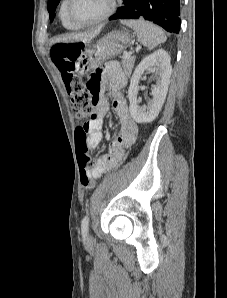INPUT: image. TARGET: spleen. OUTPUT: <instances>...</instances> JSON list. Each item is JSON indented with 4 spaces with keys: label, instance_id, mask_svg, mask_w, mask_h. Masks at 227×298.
Masks as SVG:
<instances>
[{
    "label": "spleen",
    "instance_id": "3e777b00",
    "mask_svg": "<svg viewBox=\"0 0 227 298\" xmlns=\"http://www.w3.org/2000/svg\"><path fill=\"white\" fill-rule=\"evenodd\" d=\"M121 23L132 28L137 34L138 41L148 49H153L167 39L162 29L143 19L124 20Z\"/></svg>",
    "mask_w": 227,
    "mask_h": 298
}]
</instances>
